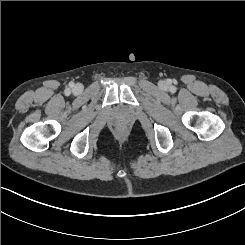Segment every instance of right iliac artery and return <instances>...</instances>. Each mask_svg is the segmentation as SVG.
Returning a JSON list of instances; mask_svg holds the SVG:
<instances>
[{"label":"right iliac artery","instance_id":"82829eb1","mask_svg":"<svg viewBox=\"0 0 245 245\" xmlns=\"http://www.w3.org/2000/svg\"><path fill=\"white\" fill-rule=\"evenodd\" d=\"M66 93H70V90H67Z\"/></svg>","mask_w":245,"mask_h":245}]
</instances>
